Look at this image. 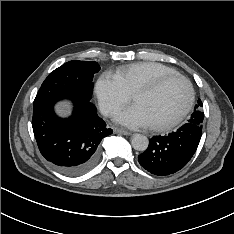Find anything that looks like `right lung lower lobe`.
I'll return each mask as SVG.
<instances>
[{
    "mask_svg": "<svg viewBox=\"0 0 234 234\" xmlns=\"http://www.w3.org/2000/svg\"><path fill=\"white\" fill-rule=\"evenodd\" d=\"M70 99L73 114L66 119L58 117L54 105ZM32 127L43 157L66 175H81L98 160L102 138L113 133L97 115L89 101L63 97L42 103L33 110Z\"/></svg>",
    "mask_w": 234,
    "mask_h": 234,
    "instance_id": "1",
    "label": "right lung lower lobe"
}]
</instances>
